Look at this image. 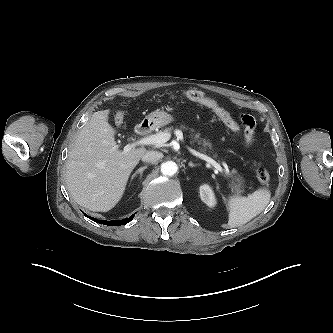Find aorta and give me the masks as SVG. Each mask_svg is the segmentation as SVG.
<instances>
[{"instance_id":"aorta-1","label":"aorta","mask_w":333,"mask_h":333,"mask_svg":"<svg viewBox=\"0 0 333 333\" xmlns=\"http://www.w3.org/2000/svg\"><path fill=\"white\" fill-rule=\"evenodd\" d=\"M177 171H178V166L173 161H167L162 163L161 165V172L164 175L173 176L177 173Z\"/></svg>"}]
</instances>
